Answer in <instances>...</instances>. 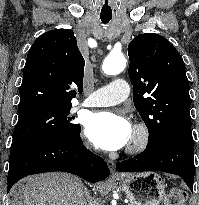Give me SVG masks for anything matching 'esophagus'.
Masks as SVG:
<instances>
[{
  "instance_id": "obj_1",
  "label": "esophagus",
  "mask_w": 199,
  "mask_h": 205,
  "mask_svg": "<svg viewBox=\"0 0 199 205\" xmlns=\"http://www.w3.org/2000/svg\"><path fill=\"white\" fill-rule=\"evenodd\" d=\"M107 164H108V167H109V169H110V171H111V175H112L113 177H118L119 174L115 171V163H114V161L108 160V161H107Z\"/></svg>"
}]
</instances>
